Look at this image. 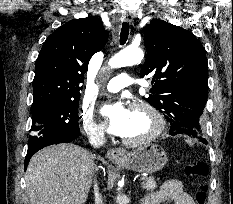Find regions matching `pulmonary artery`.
<instances>
[{
  "label": "pulmonary artery",
  "instance_id": "e3ab8cb5",
  "mask_svg": "<svg viewBox=\"0 0 233 204\" xmlns=\"http://www.w3.org/2000/svg\"><path fill=\"white\" fill-rule=\"evenodd\" d=\"M134 83H136V81L131 76L122 73L115 76L107 83L106 90L115 93Z\"/></svg>",
  "mask_w": 233,
  "mask_h": 204
}]
</instances>
